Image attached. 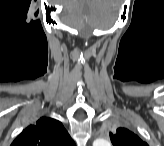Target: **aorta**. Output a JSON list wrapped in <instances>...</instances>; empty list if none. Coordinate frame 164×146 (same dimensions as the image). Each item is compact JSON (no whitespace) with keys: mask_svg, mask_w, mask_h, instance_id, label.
<instances>
[{"mask_svg":"<svg viewBox=\"0 0 164 146\" xmlns=\"http://www.w3.org/2000/svg\"><path fill=\"white\" fill-rule=\"evenodd\" d=\"M94 146H110V142L107 139L98 138L93 143Z\"/></svg>","mask_w":164,"mask_h":146,"instance_id":"aorta-1","label":"aorta"}]
</instances>
